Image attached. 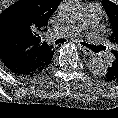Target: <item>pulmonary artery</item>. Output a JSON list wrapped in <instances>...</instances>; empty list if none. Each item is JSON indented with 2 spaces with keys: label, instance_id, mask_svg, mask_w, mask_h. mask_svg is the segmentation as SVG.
<instances>
[{
  "label": "pulmonary artery",
  "instance_id": "obj_1",
  "mask_svg": "<svg viewBox=\"0 0 118 118\" xmlns=\"http://www.w3.org/2000/svg\"><path fill=\"white\" fill-rule=\"evenodd\" d=\"M102 17V9L97 3H90L84 9L82 18L78 24H72L65 28L69 35H76L81 30L94 28ZM109 59H113V55H109Z\"/></svg>",
  "mask_w": 118,
  "mask_h": 118
}]
</instances>
